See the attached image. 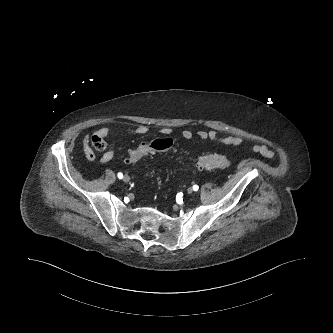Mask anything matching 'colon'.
<instances>
[{
	"label": "colon",
	"instance_id": "1",
	"mask_svg": "<svg viewBox=\"0 0 333 333\" xmlns=\"http://www.w3.org/2000/svg\"><path fill=\"white\" fill-rule=\"evenodd\" d=\"M92 146L98 151H104L107 148V142L103 137L93 135L91 137ZM174 140L169 137L156 138L150 142L140 143L133 148L126 157L128 164H136L142 158L157 151L169 150L173 147ZM228 159L221 154L207 153L202 155L196 161V167L200 170L204 169H224L228 167Z\"/></svg>",
	"mask_w": 333,
	"mask_h": 333
}]
</instances>
